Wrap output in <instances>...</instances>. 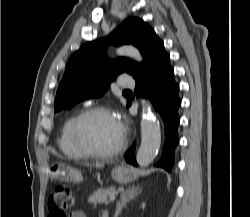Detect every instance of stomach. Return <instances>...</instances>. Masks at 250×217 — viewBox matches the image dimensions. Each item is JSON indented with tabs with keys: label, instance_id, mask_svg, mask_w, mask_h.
<instances>
[{
	"label": "stomach",
	"instance_id": "stomach-1",
	"mask_svg": "<svg viewBox=\"0 0 250 217\" xmlns=\"http://www.w3.org/2000/svg\"><path fill=\"white\" fill-rule=\"evenodd\" d=\"M51 176L59 181L80 182L81 173L66 164L57 163L51 166ZM112 178L121 184L132 182L136 179V173L133 169L126 166H116L111 172Z\"/></svg>",
	"mask_w": 250,
	"mask_h": 217
}]
</instances>
